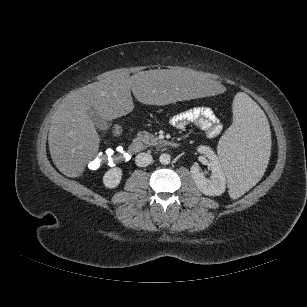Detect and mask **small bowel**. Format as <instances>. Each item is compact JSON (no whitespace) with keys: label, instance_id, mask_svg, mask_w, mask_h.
Wrapping results in <instances>:
<instances>
[{"label":"small bowel","instance_id":"1","mask_svg":"<svg viewBox=\"0 0 307 307\" xmlns=\"http://www.w3.org/2000/svg\"><path fill=\"white\" fill-rule=\"evenodd\" d=\"M170 124L181 131L193 124L203 130L210 138L218 136L223 128L214 111L206 106L194 107L180 112L170 118Z\"/></svg>","mask_w":307,"mask_h":307}]
</instances>
